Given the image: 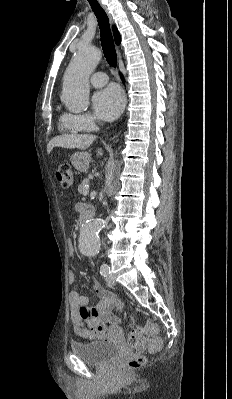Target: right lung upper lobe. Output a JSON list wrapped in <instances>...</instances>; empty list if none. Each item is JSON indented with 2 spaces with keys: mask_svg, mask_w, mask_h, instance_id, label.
Returning a JSON list of instances; mask_svg holds the SVG:
<instances>
[{
  "mask_svg": "<svg viewBox=\"0 0 232 399\" xmlns=\"http://www.w3.org/2000/svg\"><path fill=\"white\" fill-rule=\"evenodd\" d=\"M113 33H114L116 44H119L121 38H120V34L115 26H113Z\"/></svg>",
  "mask_w": 232,
  "mask_h": 399,
  "instance_id": "obj_1",
  "label": "right lung upper lobe"
}]
</instances>
